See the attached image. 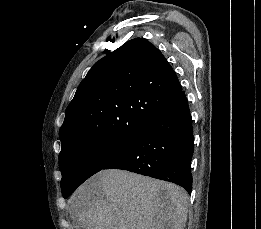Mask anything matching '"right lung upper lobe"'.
Masks as SVG:
<instances>
[{"mask_svg": "<svg viewBox=\"0 0 261 229\" xmlns=\"http://www.w3.org/2000/svg\"><path fill=\"white\" fill-rule=\"evenodd\" d=\"M162 53L135 38L90 69L77 88L60 128L62 146L78 139L133 140L180 93Z\"/></svg>", "mask_w": 261, "mask_h": 229, "instance_id": "1", "label": "right lung upper lobe"}]
</instances>
